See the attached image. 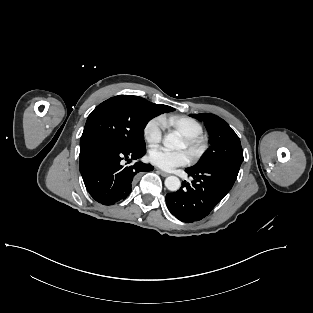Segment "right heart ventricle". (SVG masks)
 <instances>
[{"instance_id": "obj_1", "label": "right heart ventricle", "mask_w": 313, "mask_h": 313, "mask_svg": "<svg viewBox=\"0 0 313 313\" xmlns=\"http://www.w3.org/2000/svg\"><path fill=\"white\" fill-rule=\"evenodd\" d=\"M168 127L178 131L183 137H196L202 134V124L194 118L183 115H171L163 118Z\"/></svg>"}]
</instances>
